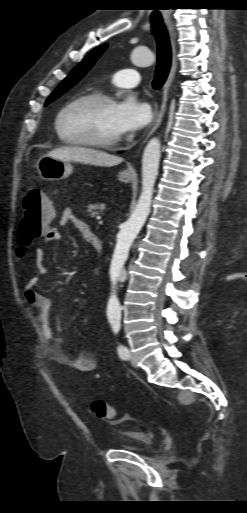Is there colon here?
Wrapping results in <instances>:
<instances>
[{
	"label": "colon",
	"instance_id": "obj_1",
	"mask_svg": "<svg viewBox=\"0 0 247 513\" xmlns=\"http://www.w3.org/2000/svg\"><path fill=\"white\" fill-rule=\"evenodd\" d=\"M54 217V203L41 189L34 188L24 196L23 214L18 229L21 252L52 227ZM91 409L101 419H111L115 414L113 408L101 399L94 400Z\"/></svg>",
	"mask_w": 247,
	"mask_h": 513
}]
</instances>
